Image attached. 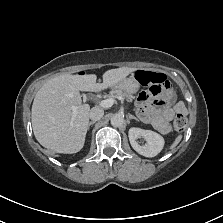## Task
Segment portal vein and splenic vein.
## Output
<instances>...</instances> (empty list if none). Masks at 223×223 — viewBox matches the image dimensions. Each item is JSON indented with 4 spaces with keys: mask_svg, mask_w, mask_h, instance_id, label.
<instances>
[{
    "mask_svg": "<svg viewBox=\"0 0 223 223\" xmlns=\"http://www.w3.org/2000/svg\"><path fill=\"white\" fill-rule=\"evenodd\" d=\"M116 99L121 100V96H115V97H113V98H108V99H106V100H103V101H102V106H103V107H106V108H108V107H112V106L114 105ZM122 100H123V99H122ZM72 109H73V111H72V116H71V119H70V123H71V124L74 123V121H75V119H76V116H77V112H76L75 108L72 107Z\"/></svg>",
    "mask_w": 223,
    "mask_h": 223,
    "instance_id": "portal-vein-and-splenic-vein-1",
    "label": "portal vein and splenic vein"
}]
</instances>
